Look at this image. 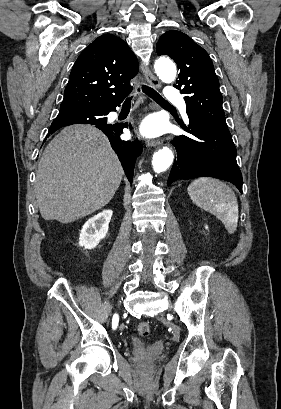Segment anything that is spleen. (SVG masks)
Listing matches in <instances>:
<instances>
[{"label": "spleen", "instance_id": "3e777b00", "mask_svg": "<svg viewBox=\"0 0 281 409\" xmlns=\"http://www.w3.org/2000/svg\"><path fill=\"white\" fill-rule=\"evenodd\" d=\"M187 190L194 205L215 215L230 235L235 233L239 217L237 196L226 182L202 176L193 180Z\"/></svg>", "mask_w": 281, "mask_h": 409}]
</instances>
